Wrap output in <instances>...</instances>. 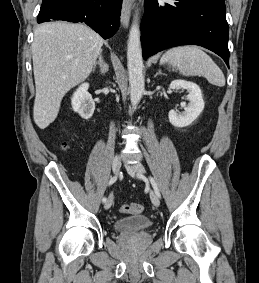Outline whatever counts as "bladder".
<instances>
[{"label":"bladder","instance_id":"31cf9c89","mask_svg":"<svg viewBox=\"0 0 259 283\" xmlns=\"http://www.w3.org/2000/svg\"><path fill=\"white\" fill-rule=\"evenodd\" d=\"M152 225L151 220L144 215H132L121 218L114 222L113 227L115 231L122 232H140L147 230Z\"/></svg>","mask_w":259,"mask_h":283}]
</instances>
